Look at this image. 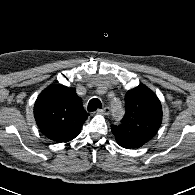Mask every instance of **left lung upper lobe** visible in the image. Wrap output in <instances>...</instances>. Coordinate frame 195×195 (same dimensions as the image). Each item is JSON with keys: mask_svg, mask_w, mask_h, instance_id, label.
Listing matches in <instances>:
<instances>
[{"mask_svg": "<svg viewBox=\"0 0 195 195\" xmlns=\"http://www.w3.org/2000/svg\"><path fill=\"white\" fill-rule=\"evenodd\" d=\"M126 113L122 123L112 125L115 137L130 148L140 147L158 131L162 120L161 104L156 95L143 85L129 90L125 96Z\"/></svg>", "mask_w": 195, "mask_h": 195, "instance_id": "obj_1", "label": "left lung upper lobe"}]
</instances>
